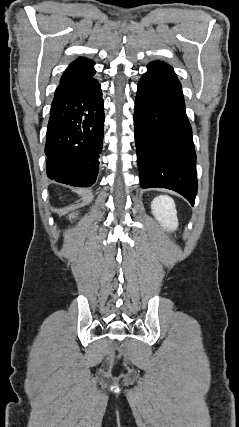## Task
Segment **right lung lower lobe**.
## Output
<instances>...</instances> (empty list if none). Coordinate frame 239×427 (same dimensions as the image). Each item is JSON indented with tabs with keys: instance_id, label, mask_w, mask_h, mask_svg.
<instances>
[{
	"instance_id": "98d812e1",
	"label": "right lung lower lobe",
	"mask_w": 239,
	"mask_h": 427,
	"mask_svg": "<svg viewBox=\"0 0 239 427\" xmlns=\"http://www.w3.org/2000/svg\"><path fill=\"white\" fill-rule=\"evenodd\" d=\"M94 72L60 81L47 129V175L60 183L89 187L99 173L103 145V99Z\"/></svg>"
}]
</instances>
